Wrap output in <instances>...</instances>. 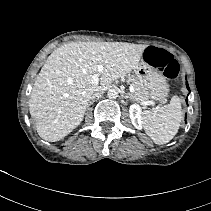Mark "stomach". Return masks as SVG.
Wrapping results in <instances>:
<instances>
[{"mask_svg":"<svg viewBox=\"0 0 211 211\" xmlns=\"http://www.w3.org/2000/svg\"><path fill=\"white\" fill-rule=\"evenodd\" d=\"M135 77L149 90V97L155 101H164L169 92V86L164 76L158 73L144 60L134 69Z\"/></svg>","mask_w":211,"mask_h":211,"instance_id":"1","label":"stomach"}]
</instances>
